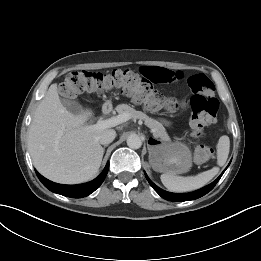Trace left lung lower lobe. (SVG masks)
<instances>
[{
	"label": "left lung lower lobe",
	"instance_id": "obj_1",
	"mask_svg": "<svg viewBox=\"0 0 261 261\" xmlns=\"http://www.w3.org/2000/svg\"><path fill=\"white\" fill-rule=\"evenodd\" d=\"M226 170V169H225ZM224 170V171H225ZM223 171V173H224ZM223 173L211 184L197 190L191 193H182V194H177V193H170L167 191L162 190L161 188H159L158 186H156L146 175L145 176L148 180V182L150 183V185L153 187V189L164 199L168 200V201H189V200H194L197 198H200L202 196H204L205 194H207L209 191H211L213 189V187L217 184V182L219 181V179L221 178V176L223 175Z\"/></svg>",
	"mask_w": 261,
	"mask_h": 261
}]
</instances>
